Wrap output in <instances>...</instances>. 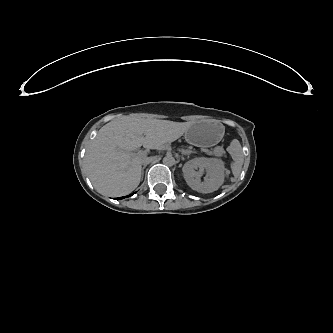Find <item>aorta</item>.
<instances>
[{
	"label": "aorta",
	"mask_w": 333,
	"mask_h": 333,
	"mask_svg": "<svg viewBox=\"0 0 333 333\" xmlns=\"http://www.w3.org/2000/svg\"><path fill=\"white\" fill-rule=\"evenodd\" d=\"M163 164L168 166V167H171L173 166L175 163H176V160L175 158L173 157L172 154H167L163 160H162Z\"/></svg>",
	"instance_id": "762f6f07"
}]
</instances>
